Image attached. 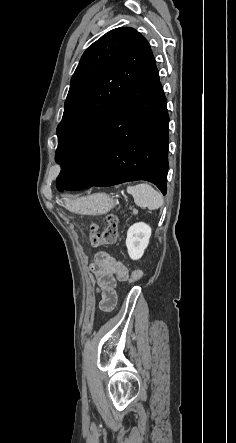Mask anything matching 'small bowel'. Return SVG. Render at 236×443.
Masks as SVG:
<instances>
[{
  "instance_id": "c3829d8e",
  "label": "small bowel",
  "mask_w": 236,
  "mask_h": 443,
  "mask_svg": "<svg viewBox=\"0 0 236 443\" xmlns=\"http://www.w3.org/2000/svg\"><path fill=\"white\" fill-rule=\"evenodd\" d=\"M91 271L98 278L101 309L104 311L112 310L117 301L116 282H123L128 279L127 267L108 253L101 251L96 255L95 261L91 265Z\"/></svg>"
}]
</instances>
